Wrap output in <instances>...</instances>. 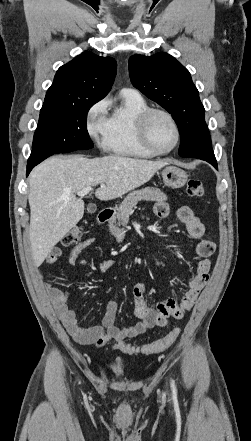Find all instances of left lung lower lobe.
Returning a JSON list of instances; mask_svg holds the SVG:
<instances>
[{
	"instance_id": "obj_1",
	"label": "left lung lower lobe",
	"mask_w": 251,
	"mask_h": 441,
	"mask_svg": "<svg viewBox=\"0 0 251 441\" xmlns=\"http://www.w3.org/2000/svg\"><path fill=\"white\" fill-rule=\"evenodd\" d=\"M183 138L187 145L185 147L187 151H184L183 154L179 153L181 157L199 158L209 162L218 169L207 125L196 127L192 135L184 136Z\"/></svg>"
}]
</instances>
